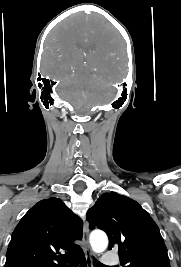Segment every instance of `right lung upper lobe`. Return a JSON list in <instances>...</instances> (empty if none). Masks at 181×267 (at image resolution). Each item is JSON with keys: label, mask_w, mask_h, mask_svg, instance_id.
Instances as JSON below:
<instances>
[{"label": "right lung upper lobe", "mask_w": 181, "mask_h": 267, "mask_svg": "<svg viewBox=\"0 0 181 267\" xmlns=\"http://www.w3.org/2000/svg\"><path fill=\"white\" fill-rule=\"evenodd\" d=\"M82 231L83 222L60 199L41 200L13 231L5 267H66L68 259L83 254L74 244Z\"/></svg>", "instance_id": "right-lung-upper-lobe-1"}]
</instances>
